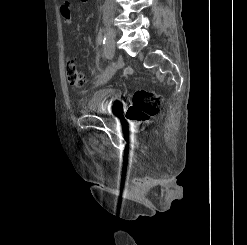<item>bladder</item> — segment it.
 Masks as SVG:
<instances>
[{"instance_id":"1","label":"bladder","mask_w":247,"mask_h":245,"mask_svg":"<svg viewBox=\"0 0 247 245\" xmlns=\"http://www.w3.org/2000/svg\"><path fill=\"white\" fill-rule=\"evenodd\" d=\"M122 93L113 88H97L87 98L84 110L89 113L107 114L120 107Z\"/></svg>"}]
</instances>
